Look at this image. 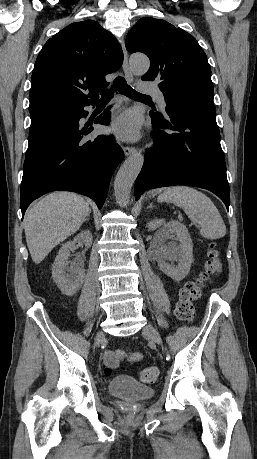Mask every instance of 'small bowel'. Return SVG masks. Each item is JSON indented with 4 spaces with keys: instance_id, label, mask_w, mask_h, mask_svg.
Segmentation results:
<instances>
[{
    "instance_id": "1",
    "label": "small bowel",
    "mask_w": 257,
    "mask_h": 459,
    "mask_svg": "<svg viewBox=\"0 0 257 459\" xmlns=\"http://www.w3.org/2000/svg\"><path fill=\"white\" fill-rule=\"evenodd\" d=\"M143 355L140 352L129 351L125 348L115 350H106L104 352V362L111 367H116L120 361L128 360L130 362H138L142 360Z\"/></svg>"
}]
</instances>
